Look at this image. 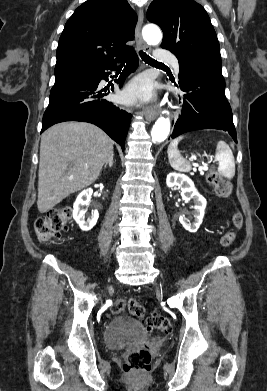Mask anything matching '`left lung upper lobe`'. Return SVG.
Segmentation results:
<instances>
[{"label":"left lung upper lobe","mask_w":267,"mask_h":391,"mask_svg":"<svg viewBox=\"0 0 267 391\" xmlns=\"http://www.w3.org/2000/svg\"><path fill=\"white\" fill-rule=\"evenodd\" d=\"M147 19L163 31L162 48L171 51L181 67L221 71L219 42L205 9L193 0H154Z\"/></svg>","instance_id":"1"}]
</instances>
